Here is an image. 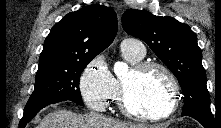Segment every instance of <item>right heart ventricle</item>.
Segmentation results:
<instances>
[{"mask_svg":"<svg viewBox=\"0 0 221 128\" xmlns=\"http://www.w3.org/2000/svg\"><path fill=\"white\" fill-rule=\"evenodd\" d=\"M122 55H123L124 59L132 66L138 65L142 60V57H138L135 53H133L132 51H129V50H122ZM114 80H115V83L117 86V93L114 96L109 98L110 101H118L119 91L121 88V80H119L118 78H114ZM109 100H108V102H109Z\"/></svg>","mask_w":221,"mask_h":128,"instance_id":"1","label":"right heart ventricle"}]
</instances>
